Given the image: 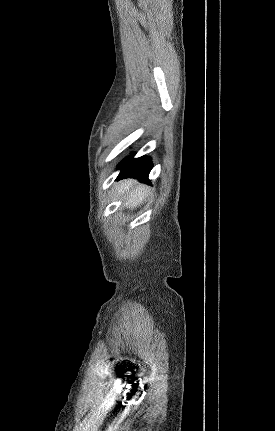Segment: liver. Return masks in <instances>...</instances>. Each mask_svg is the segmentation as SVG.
Wrapping results in <instances>:
<instances>
[{
	"label": "liver",
	"instance_id": "1",
	"mask_svg": "<svg viewBox=\"0 0 275 431\" xmlns=\"http://www.w3.org/2000/svg\"><path fill=\"white\" fill-rule=\"evenodd\" d=\"M134 183H135L134 180L128 179V180L122 181L117 186V190L120 195H123L125 191L127 192V198L125 200L124 205L129 209H134L138 205H140L150 191L149 188H147L144 185L137 186L130 191Z\"/></svg>",
	"mask_w": 275,
	"mask_h": 431
}]
</instances>
